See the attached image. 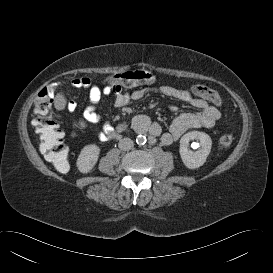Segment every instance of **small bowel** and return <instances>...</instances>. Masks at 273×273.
Wrapping results in <instances>:
<instances>
[{"label": "small bowel", "mask_w": 273, "mask_h": 273, "mask_svg": "<svg viewBox=\"0 0 273 273\" xmlns=\"http://www.w3.org/2000/svg\"><path fill=\"white\" fill-rule=\"evenodd\" d=\"M71 86L75 88H82L88 90L89 104L83 111V117L90 123H98L101 120V114L98 106L103 96L114 94V105L118 108L124 107L130 100H139L149 93H156L165 97L173 98L179 101H184L198 109L199 112L183 113L176 117L170 124L169 130L161 134V126L153 122L149 124L148 119L143 116H137L134 120L135 124L140 129H147L152 136L161 135V142L165 145L171 144L177 140L184 132L189 129L196 128H213L220 118V111L208 104L203 98L195 94L193 87L191 91L177 89L172 86H160L158 88L150 89H135L130 93H123L121 88L112 84L101 87L94 84L88 77L74 78L70 81ZM198 96V97H196ZM69 111H75L77 104L70 101L67 104ZM171 111H177V107L171 106ZM109 123L103 131L99 132L96 136L100 140H104L109 134Z\"/></svg>", "instance_id": "1"}]
</instances>
